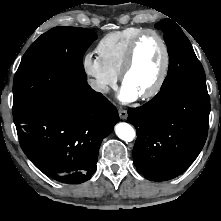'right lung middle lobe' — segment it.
Returning a JSON list of instances; mask_svg holds the SVG:
<instances>
[{
    "label": "right lung middle lobe",
    "instance_id": "dd1d6c3e",
    "mask_svg": "<svg viewBox=\"0 0 221 221\" xmlns=\"http://www.w3.org/2000/svg\"><path fill=\"white\" fill-rule=\"evenodd\" d=\"M96 39L78 27H55L38 37L14 77L13 116L81 89L87 83L83 55Z\"/></svg>",
    "mask_w": 221,
    "mask_h": 221
}]
</instances>
